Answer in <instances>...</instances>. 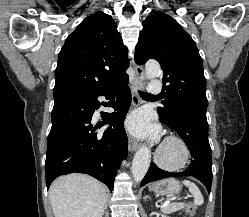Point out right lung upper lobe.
<instances>
[{
	"mask_svg": "<svg viewBox=\"0 0 249 217\" xmlns=\"http://www.w3.org/2000/svg\"><path fill=\"white\" fill-rule=\"evenodd\" d=\"M127 48L110 15L95 12L66 39L58 56L54 90H98L125 78Z\"/></svg>",
	"mask_w": 249,
	"mask_h": 217,
	"instance_id": "1",
	"label": "right lung upper lobe"
}]
</instances>
